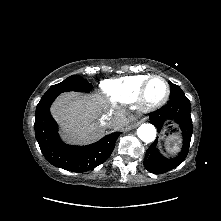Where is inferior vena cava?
Returning <instances> with one entry per match:
<instances>
[{
	"label": "inferior vena cava",
	"instance_id": "1",
	"mask_svg": "<svg viewBox=\"0 0 221 221\" xmlns=\"http://www.w3.org/2000/svg\"><path fill=\"white\" fill-rule=\"evenodd\" d=\"M100 123L103 126H110L112 124L111 114H104L100 117Z\"/></svg>",
	"mask_w": 221,
	"mask_h": 221
}]
</instances>
